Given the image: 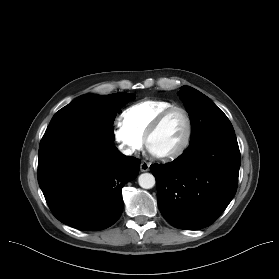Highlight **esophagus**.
Here are the masks:
<instances>
[{"mask_svg": "<svg viewBox=\"0 0 279 279\" xmlns=\"http://www.w3.org/2000/svg\"><path fill=\"white\" fill-rule=\"evenodd\" d=\"M150 168V164L146 161H142L141 164H140V170L141 172H146L148 171Z\"/></svg>", "mask_w": 279, "mask_h": 279, "instance_id": "obj_1", "label": "esophagus"}]
</instances>
